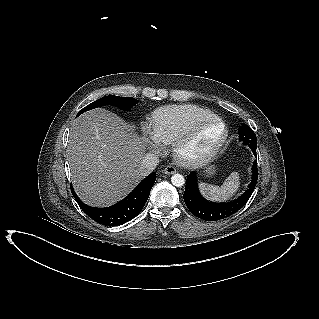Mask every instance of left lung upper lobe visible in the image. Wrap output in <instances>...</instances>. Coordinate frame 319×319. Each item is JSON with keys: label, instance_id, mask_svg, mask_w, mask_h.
I'll use <instances>...</instances> for the list:
<instances>
[{"label": "left lung upper lobe", "instance_id": "1", "mask_svg": "<svg viewBox=\"0 0 319 319\" xmlns=\"http://www.w3.org/2000/svg\"><path fill=\"white\" fill-rule=\"evenodd\" d=\"M239 139L243 142V144L248 145L249 147H257V139L255 133L249 126L245 124H243L239 128Z\"/></svg>", "mask_w": 319, "mask_h": 319}]
</instances>
